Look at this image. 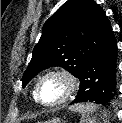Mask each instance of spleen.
<instances>
[{"instance_id": "3e777b00", "label": "spleen", "mask_w": 122, "mask_h": 123, "mask_svg": "<svg viewBox=\"0 0 122 123\" xmlns=\"http://www.w3.org/2000/svg\"><path fill=\"white\" fill-rule=\"evenodd\" d=\"M71 109L81 113V123H100L99 118L102 119L104 123H109L107 111L102 110L94 103L76 104L72 106Z\"/></svg>"}]
</instances>
